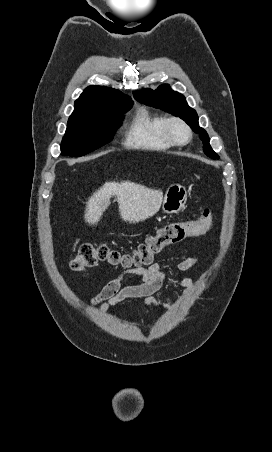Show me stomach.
I'll use <instances>...</instances> for the list:
<instances>
[{"mask_svg":"<svg viewBox=\"0 0 272 452\" xmlns=\"http://www.w3.org/2000/svg\"><path fill=\"white\" fill-rule=\"evenodd\" d=\"M188 191L185 186L172 184L169 186L164 199L162 209L166 214H175L186 207Z\"/></svg>","mask_w":272,"mask_h":452,"instance_id":"stomach-1","label":"stomach"}]
</instances>
